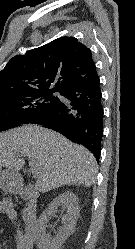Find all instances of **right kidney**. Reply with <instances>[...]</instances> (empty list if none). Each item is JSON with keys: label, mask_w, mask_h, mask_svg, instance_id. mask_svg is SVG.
<instances>
[{"label": "right kidney", "mask_w": 135, "mask_h": 249, "mask_svg": "<svg viewBox=\"0 0 135 249\" xmlns=\"http://www.w3.org/2000/svg\"><path fill=\"white\" fill-rule=\"evenodd\" d=\"M60 206L66 210V214L62 217L63 227L55 236H51L49 233H46L47 224L51 215L56 213ZM78 217L79 205L77 196L72 192H64L58 195L39 216L36 225V244L38 249H60L67 238L74 233Z\"/></svg>", "instance_id": "right-kidney-1"}]
</instances>
